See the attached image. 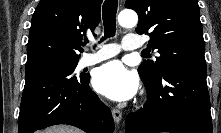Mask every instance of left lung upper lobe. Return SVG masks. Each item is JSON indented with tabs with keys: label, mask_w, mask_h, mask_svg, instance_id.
Instances as JSON below:
<instances>
[{
	"label": "left lung upper lobe",
	"mask_w": 221,
	"mask_h": 133,
	"mask_svg": "<svg viewBox=\"0 0 221 133\" xmlns=\"http://www.w3.org/2000/svg\"><path fill=\"white\" fill-rule=\"evenodd\" d=\"M125 7L138 13L136 32L149 33L148 45L160 53L156 62L141 63L138 68L141 77L156 79L174 65L206 69L197 0H127Z\"/></svg>",
	"instance_id": "5c2ea615"
}]
</instances>
